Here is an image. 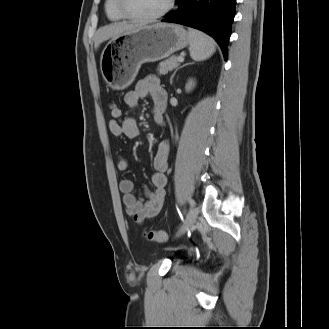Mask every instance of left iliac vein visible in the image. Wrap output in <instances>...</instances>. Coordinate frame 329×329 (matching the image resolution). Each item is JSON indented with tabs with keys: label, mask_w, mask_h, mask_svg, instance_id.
<instances>
[{
	"label": "left iliac vein",
	"mask_w": 329,
	"mask_h": 329,
	"mask_svg": "<svg viewBox=\"0 0 329 329\" xmlns=\"http://www.w3.org/2000/svg\"><path fill=\"white\" fill-rule=\"evenodd\" d=\"M198 213L199 210L197 207H192L189 210L185 224L179 229L178 235L184 233L188 228H190L196 222Z\"/></svg>",
	"instance_id": "obj_1"
}]
</instances>
